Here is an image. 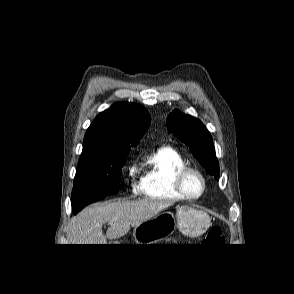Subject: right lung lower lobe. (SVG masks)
Wrapping results in <instances>:
<instances>
[{
    "mask_svg": "<svg viewBox=\"0 0 294 294\" xmlns=\"http://www.w3.org/2000/svg\"><path fill=\"white\" fill-rule=\"evenodd\" d=\"M81 209H74V213L77 214Z\"/></svg>",
    "mask_w": 294,
    "mask_h": 294,
    "instance_id": "1",
    "label": "right lung lower lobe"
}]
</instances>
